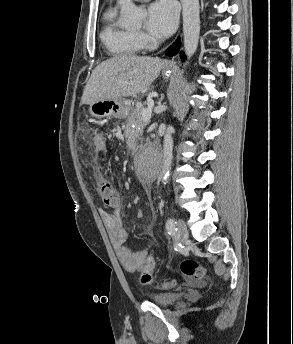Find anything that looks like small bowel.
Instances as JSON below:
<instances>
[{"label": "small bowel", "mask_w": 293, "mask_h": 344, "mask_svg": "<svg viewBox=\"0 0 293 344\" xmlns=\"http://www.w3.org/2000/svg\"><path fill=\"white\" fill-rule=\"evenodd\" d=\"M92 147L102 152L105 149V142L101 137L92 139ZM102 218L109 234L114 251L120 263L129 270H134L144 263L148 250H140L132 252L127 246L126 241L128 234L123 226V216L120 208L114 209L112 212L103 211ZM154 221L145 225L146 232L152 235V225Z\"/></svg>", "instance_id": "obj_1"}]
</instances>
